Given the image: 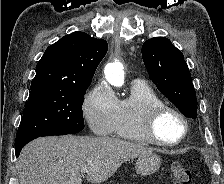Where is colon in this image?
I'll list each match as a JSON object with an SVG mask.
<instances>
[{
    "label": "colon",
    "instance_id": "colon-1",
    "mask_svg": "<svg viewBox=\"0 0 224 184\" xmlns=\"http://www.w3.org/2000/svg\"><path fill=\"white\" fill-rule=\"evenodd\" d=\"M171 172L175 184H192L191 170L186 165L174 162L171 166Z\"/></svg>",
    "mask_w": 224,
    "mask_h": 184
}]
</instances>
